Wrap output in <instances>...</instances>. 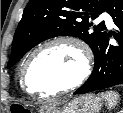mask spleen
Segmentation results:
<instances>
[{"label":"spleen","instance_id":"spleen-1","mask_svg":"<svg viewBox=\"0 0 123 113\" xmlns=\"http://www.w3.org/2000/svg\"><path fill=\"white\" fill-rule=\"evenodd\" d=\"M101 97L107 101L109 109L115 107L119 101V94L113 91L101 93Z\"/></svg>","mask_w":123,"mask_h":113}]
</instances>
